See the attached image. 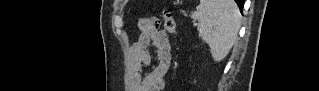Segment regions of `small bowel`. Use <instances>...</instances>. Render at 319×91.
Wrapping results in <instances>:
<instances>
[{"label": "small bowel", "mask_w": 319, "mask_h": 91, "mask_svg": "<svg viewBox=\"0 0 319 91\" xmlns=\"http://www.w3.org/2000/svg\"><path fill=\"white\" fill-rule=\"evenodd\" d=\"M138 29L139 38L131 47L134 61L132 89L133 91H162L166 86L165 75L172 59L169 36L155 19H140ZM150 46H153L156 52L155 63L149 72L143 74L142 67L151 62Z\"/></svg>", "instance_id": "small-bowel-1"}]
</instances>
